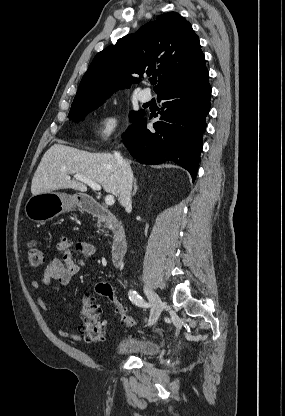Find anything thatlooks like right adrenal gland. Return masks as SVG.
Masks as SVG:
<instances>
[{
	"mask_svg": "<svg viewBox=\"0 0 285 416\" xmlns=\"http://www.w3.org/2000/svg\"><path fill=\"white\" fill-rule=\"evenodd\" d=\"M133 182H134V190H133V194H132V196H135V194H136V192H137V190H138V186H137V180H136V178H134Z\"/></svg>",
	"mask_w": 285,
	"mask_h": 416,
	"instance_id": "1",
	"label": "right adrenal gland"
}]
</instances>
